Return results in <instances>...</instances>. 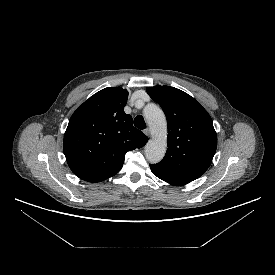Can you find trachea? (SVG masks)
Instances as JSON below:
<instances>
[{
  "instance_id": "obj_1",
  "label": "trachea",
  "mask_w": 275,
  "mask_h": 275,
  "mask_svg": "<svg viewBox=\"0 0 275 275\" xmlns=\"http://www.w3.org/2000/svg\"><path fill=\"white\" fill-rule=\"evenodd\" d=\"M134 125L139 129H145L146 128L145 120L141 115H138V116L135 117Z\"/></svg>"
}]
</instances>
